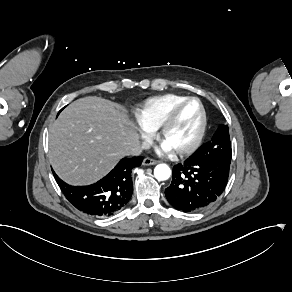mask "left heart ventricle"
Here are the masks:
<instances>
[{
    "label": "left heart ventricle",
    "mask_w": 292,
    "mask_h": 292,
    "mask_svg": "<svg viewBox=\"0 0 292 292\" xmlns=\"http://www.w3.org/2000/svg\"><path fill=\"white\" fill-rule=\"evenodd\" d=\"M199 121V106L188 103L178 114L166 134V142L173 147L186 145L193 137Z\"/></svg>",
    "instance_id": "left-heart-ventricle-1"
}]
</instances>
